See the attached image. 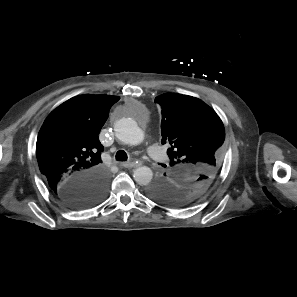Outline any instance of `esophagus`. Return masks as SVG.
I'll use <instances>...</instances> for the list:
<instances>
[{
  "mask_svg": "<svg viewBox=\"0 0 297 297\" xmlns=\"http://www.w3.org/2000/svg\"><path fill=\"white\" fill-rule=\"evenodd\" d=\"M121 166H123L125 168H136L139 166V164L136 162H122Z\"/></svg>",
  "mask_w": 297,
  "mask_h": 297,
  "instance_id": "esophagus-1",
  "label": "esophagus"
}]
</instances>
